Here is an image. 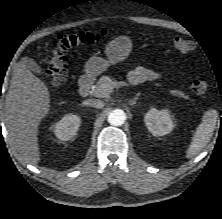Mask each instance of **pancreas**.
Wrapping results in <instances>:
<instances>
[{
	"label": "pancreas",
	"mask_w": 222,
	"mask_h": 219,
	"mask_svg": "<svg viewBox=\"0 0 222 219\" xmlns=\"http://www.w3.org/2000/svg\"><path fill=\"white\" fill-rule=\"evenodd\" d=\"M115 81L109 77V76H102L99 81L97 82V85L92 90V95L98 98H107L109 94L113 90V83ZM171 94L173 96L182 97L185 99H188V96L185 95L182 91H172Z\"/></svg>",
	"instance_id": "pancreas-1"
}]
</instances>
